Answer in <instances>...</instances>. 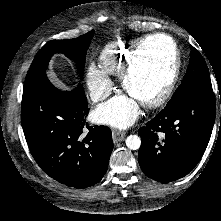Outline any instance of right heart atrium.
Returning a JSON list of instances; mask_svg holds the SVG:
<instances>
[{"label": "right heart atrium", "mask_w": 221, "mask_h": 221, "mask_svg": "<svg viewBox=\"0 0 221 221\" xmlns=\"http://www.w3.org/2000/svg\"><path fill=\"white\" fill-rule=\"evenodd\" d=\"M87 80L93 100H102L108 92V77L98 67L90 65L87 70Z\"/></svg>", "instance_id": "1"}]
</instances>
